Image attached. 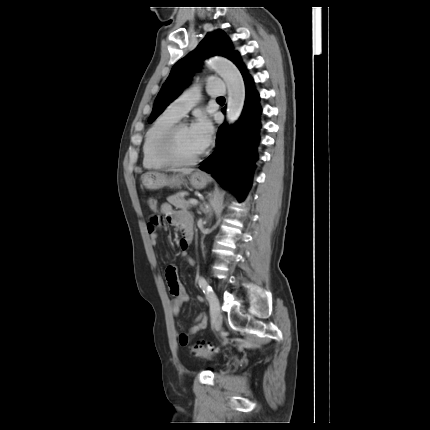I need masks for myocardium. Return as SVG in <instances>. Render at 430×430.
Listing matches in <instances>:
<instances>
[{"label":"myocardium","mask_w":430,"mask_h":430,"mask_svg":"<svg viewBox=\"0 0 430 430\" xmlns=\"http://www.w3.org/2000/svg\"><path fill=\"white\" fill-rule=\"evenodd\" d=\"M188 127L184 122H177L172 125L160 138L157 145L158 155L168 164L173 166H188L199 162L204 156V152L192 158H182L176 150V139L180 129Z\"/></svg>","instance_id":"f54148a6"}]
</instances>
